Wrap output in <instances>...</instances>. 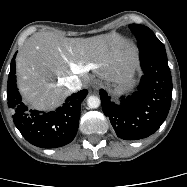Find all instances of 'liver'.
<instances>
[{"mask_svg":"<svg viewBox=\"0 0 187 187\" xmlns=\"http://www.w3.org/2000/svg\"><path fill=\"white\" fill-rule=\"evenodd\" d=\"M136 57L115 37L65 38L38 32L27 39L16 58L18 88L24 103L53 110L71 94L66 87L71 75L85 86L94 74L106 81L124 82L134 72Z\"/></svg>","mask_w":187,"mask_h":187,"instance_id":"6515ba94","label":"liver"}]
</instances>
